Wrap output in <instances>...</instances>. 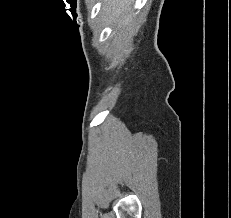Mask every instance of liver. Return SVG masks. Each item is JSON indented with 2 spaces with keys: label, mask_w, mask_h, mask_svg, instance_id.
Segmentation results:
<instances>
[{
  "label": "liver",
  "mask_w": 231,
  "mask_h": 218,
  "mask_svg": "<svg viewBox=\"0 0 231 218\" xmlns=\"http://www.w3.org/2000/svg\"><path fill=\"white\" fill-rule=\"evenodd\" d=\"M132 0H104L102 13L109 23L120 24L128 19Z\"/></svg>",
  "instance_id": "obj_1"
}]
</instances>
